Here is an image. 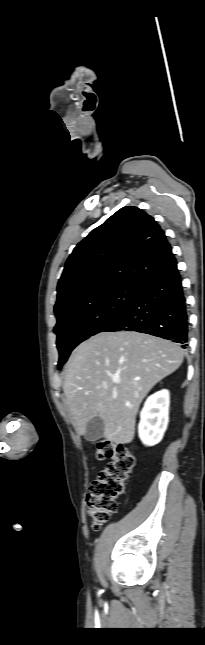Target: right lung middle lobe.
I'll use <instances>...</instances> for the list:
<instances>
[{
  "label": "right lung middle lobe",
  "mask_w": 205,
  "mask_h": 645,
  "mask_svg": "<svg viewBox=\"0 0 205 645\" xmlns=\"http://www.w3.org/2000/svg\"><path fill=\"white\" fill-rule=\"evenodd\" d=\"M137 284H124L83 297L56 314L58 369L82 341L101 332L135 301Z\"/></svg>",
  "instance_id": "right-lung-middle-lobe-1"
}]
</instances>
